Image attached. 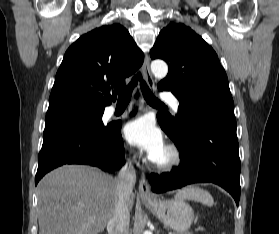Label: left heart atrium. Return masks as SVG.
<instances>
[{"label": "left heart atrium", "instance_id": "obj_1", "mask_svg": "<svg viewBox=\"0 0 279 234\" xmlns=\"http://www.w3.org/2000/svg\"><path fill=\"white\" fill-rule=\"evenodd\" d=\"M124 135L132 145L144 150L151 160H156L165 150L162 133L148 116L128 122Z\"/></svg>", "mask_w": 279, "mask_h": 234}]
</instances>
